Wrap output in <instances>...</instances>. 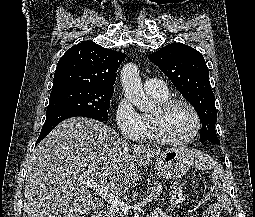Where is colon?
<instances>
[{
    "instance_id": "obj_1",
    "label": "colon",
    "mask_w": 255,
    "mask_h": 217,
    "mask_svg": "<svg viewBox=\"0 0 255 217\" xmlns=\"http://www.w3.org/2000/svg\"><path fill=\"white\" fill-rule=\"evenodd\" d=\"M186 200V192L178 183H173L170 189V201L173 205H180Z\"/></svg>"
}]
</instances>
